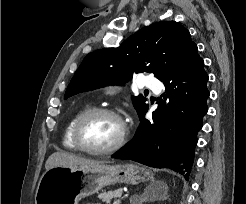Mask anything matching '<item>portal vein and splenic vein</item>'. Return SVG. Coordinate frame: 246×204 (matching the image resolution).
Listing matches in <instances>:
<instances>
[{"instance_id":"obj_1","label":"portal vein and splenic vein","mask_w":246,"mask_h":204,"mask_svg":"<svg viewBox=\"0 0 246 204\" xmlns=\"http://www.w3.org/2000/svg\"><path fill=\"white\" fill-rule=\"evenodd\" d=\"M121 203V200L120 199H117L116 201H114L113 204H120Z\"/></svg>"}]
</instances>
